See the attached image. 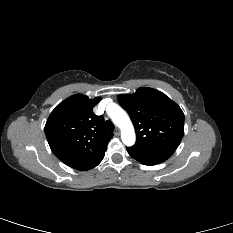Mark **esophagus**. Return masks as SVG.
<instances>
[{
	"mask_svg": "<svg viewBox=\"0 0 233 233\" xmlns=\"http://www.w3.org/2000/svg\"><path fill=\"white\" fill-rule=\"evenodd\" d=\"M114 134L116 136H119L120 135V129L119 128H116L115 131H114Z\"/></svg>",
	"mask_w": 233,
	"mask_h": 233,
	"instance_id": "1",
	"label": "esophagus"
}]
</instances>
